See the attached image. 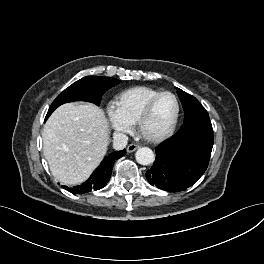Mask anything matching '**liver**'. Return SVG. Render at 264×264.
<instances>
[{
  "instance_id": "obj_1",
  "label": "liver",
  "mask_w": 264,
  "mask_h": 264,
  "mask_svg": "<svg viewBox=\"0 0 264 264\" xmlns=\"http://www.w3.org/2000/svg\"><path fill=\"white\" fill-rule=\"evenodd\" d=\"M108 142L107 119L93 104L61 105L43 129V152L50 171L65 185L86 181L104 158Z\"/></svg>"
}]
</instances>
